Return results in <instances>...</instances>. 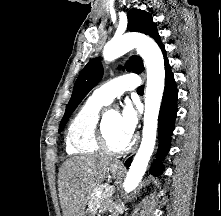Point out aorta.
Wrapping results in <instances>:
<instances>
[{
  "mask_svg": "<svg viewBox=\"0 0 221 216\" xmlns=\"http://www.w3.org/2000/svg\"><path fill=\"white\" fill-rule=\"evenodd\" d=\"M133 48H136L137 53L144 60L147 69V86L142 141L124 181L126 193L133 191L138 186L153 153L158 115L165 86L162 52L155 41L145 35L130 33L114 37L105 45L103 56L106 61H113Z\"/></svg>",
  "mask_w": 221,
  "mask_h": 216,
  "instance_id": "aorta-1",
  "label": "aorta"
}]
</instances>
